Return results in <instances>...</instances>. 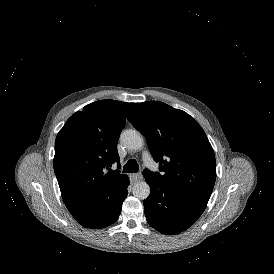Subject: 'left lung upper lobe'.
Wrapping results in <instances>:
<instances>
[{
	"label": "left lung upper lobe",
	"instance_id": "left-lung-upper-lobe-1",
	"mask_svg": "<svg viewBox=\"0 0 274 274\" xmlns=\"http://www.w3.org/2000/svg\"><path fill=\"white\" fill-rule=\"evenodd\" d=\"M128 120L145 136L163 172L145 169L144 177L209 200L216 179L215 155L195 119L163 102L148 101L135 103Z\"/></svg>",
	"mask_w": 274,
	"mask_h": 274
}]
</instances>
